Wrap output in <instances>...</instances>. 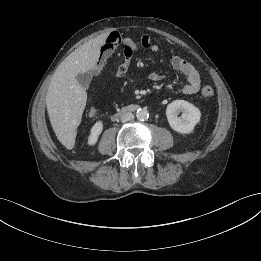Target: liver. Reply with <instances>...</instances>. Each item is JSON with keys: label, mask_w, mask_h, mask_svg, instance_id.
Returning <instances> with one entry per match:
<instances>
[{"label": "liver", "mask_w": 261, "mask_h": 261, "mask_svg": "<svg viewBox=\"0 0 261 261\" xmlns=\"http://www.w3.org/2000/svg\"><path fill=\"white\" fill-rule=\"evenodd\" d=\"M108 33L95 37L73 51L57 68L46 94V107L57 139L73 145L75 130L81 122L87 92L76 79L97 63Z\"/></svg>", "instance_id": "obj_1"}]
</instances>
